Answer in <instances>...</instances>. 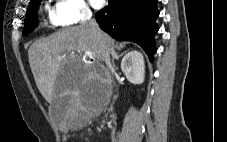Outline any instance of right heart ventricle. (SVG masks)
<instances>
[{"label":"right heart ventricle","mask_w":227,"mask_h":142,"mask_svg":"<svg viewBox=\"0 0 227 142\" xmlns=\"http://www.w3.org/2000/svg\"><path fill=\"white\" fill-rule=\"evenodd\" d=\"M46 11L48 13L49 21L52 26H58L60 25L54 15V11L49 8V6H46Z\"/></svg>","instance_id":"right-heart-ventricle-1"}]
</instances>
